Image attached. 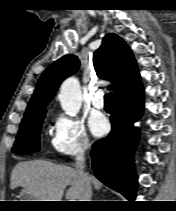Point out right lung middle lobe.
I'll use <instances>...</instances> for the list:
<instances>
[{"label":"right lung middle lobe","mask_w":176,"mask_h":211,"mask_svg":"<svg viewBox=\"0 0 176 211\" xmlns=\"http://www.w3.org/2000/svg\"><path fill=\"white\" fill-rule=\"evenodd\" d=\"M46 111L23 118L12 152L27 154L40 149V130Z\"/></svg>","instance_id":"right-lung-middle-lobe-1"}]
</instances>
